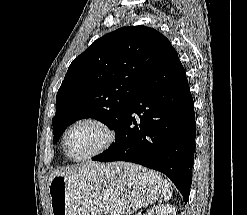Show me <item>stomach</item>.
Wrapping results in <instances>:
<instances>
[{
	"mask_svg": "<svg viewBox=\"0 0 247 215\" xmlns=\"http://www.w3.org/2000/svg\"><path fill=\"white\" fill-rule=\"evenodd\" d=\"M161 190L158 173L123 162L55 176L48 188L51 215H129L155 202Z\"/></svg>",
	"mask_w": 247,
	"mask_h": 215,
	"instance_id": "stomach-1",
	"label": "stomach"
}]
</instances>
